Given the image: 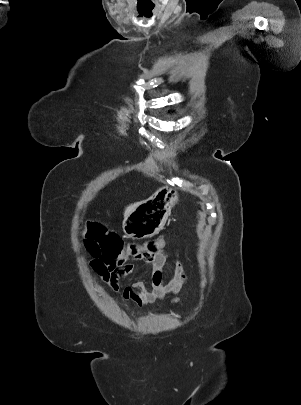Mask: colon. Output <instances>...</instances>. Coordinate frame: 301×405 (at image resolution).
Segmentation results:
<instances>
[{
  "label": "colon",
  "instance_id": "1",
  "mask_svg": "<svg viewBox=\"0 0 301 405\" xmlns=\"http://www.w3.org/2000/svg\"><path fill=\"white\" fill-rule=\"evenodd\" d=\"M161 228L162 230L157 231L155 234L157 238L160 239L163 236L171 235L172 226L170 224L165 223ZM84 244L93 257L100 259L105 266L109 265L110 267L114 265L126 250H129L132 255H137L141 252L156 253L160 249V243L157 239L146 243L144 246L136 244L125 245L115 232L109 231L98 222L87 224Z\"/></svg>",
  "mask_w": 301,
  "mask_h": 405
}]
</instances>
